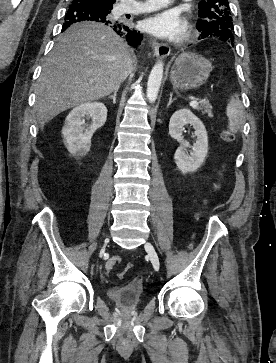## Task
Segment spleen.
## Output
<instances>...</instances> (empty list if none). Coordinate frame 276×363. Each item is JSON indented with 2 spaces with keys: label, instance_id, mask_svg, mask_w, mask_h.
<instances>
[{
  "label": "spleen",
  "instance_id": "spleen-1",
  "mask_svg": "<svg viewBox=\"0 0 276 363\" xmlns=\"http://www.w3.org/2000/svg\"><path fill=\"white\" fill-rule=\"evenodd\" d=\"M226 115L229 120V128L232 132H237L243 120V105L239 99L232 98L226 108Z\"/></svg>",
  "mask_w": 276,
  "mask_h": 363
}]
</instances>
